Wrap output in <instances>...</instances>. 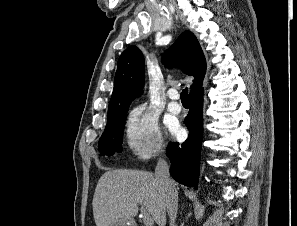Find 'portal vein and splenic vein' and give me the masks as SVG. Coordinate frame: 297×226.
Masks as SVG:
<instances>
[{
    "instance_id": "1",
    "label": "portal vein and splenic vein",
    "mask_w": 297,
    "mask_h": 226,
    "mask_svg": "<svg viewBox=\"0 0 297 226\" xmlns=\"http://www.w3.org/2000/svg\"><path fill=\"white\" fill-rule=\"evenodd\" d=\"M141 217L146 226H151L153 224L152 217L148 214L147 210L144 207H141Z\"/></svg>"
}]
</instances>
